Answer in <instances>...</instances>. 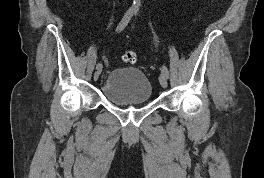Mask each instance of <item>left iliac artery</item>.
<instances>
[{
  "label": "left iliac artery",
  "mask_w": 264,
  "mask_h": 178,
  "mask_svg": "<svg viewBox=\"0 0 264 178\" xmlns=\"http://www.w3.org/2000/svg\"><path fill=\"white\" fill-rule=\"evenodd\" d=\"M162 73L165 74L167 77L169 76V71L166 66L162 67Z\"/></svg>",
  "instance_id": "44dca946"
}]
</instances>
